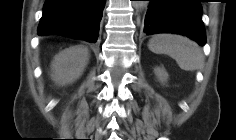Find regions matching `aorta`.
Segmentation results:
<instances>
[{"instance_id":"aorta-1","label":"aorta","mask_w":236,"mask_h":140,"mask_svg":"<svg viewBox=\"0 0 236 140\" xmlns=\"http://www.w3.org/2000/svg\"><path fill=\"white\" fill-rule=\"evenodd\" d=\"M148 1H136L135 5L136 7H138L139 9H144L148 6Z\"/></svg>"}]
</instances>
